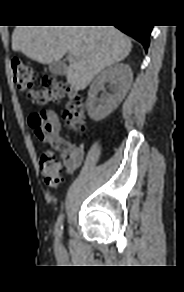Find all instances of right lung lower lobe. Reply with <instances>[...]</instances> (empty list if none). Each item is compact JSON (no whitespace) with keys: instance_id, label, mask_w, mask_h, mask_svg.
Masks as SVG:
<instances>
[{"instance_id":"1","label":"right lung lower lobe","mask_w":184,"mask_h":292,"mask_svg":"<svg viewBox=\"0 0 184 292\" xmlns=\"http://www.w3.org/2000/svg\"><path fill=\"white\" fill-rule=\"evenodd\" d=\"M118 29L139 41L147 51L152 26L148 25H116Z\"/></svg>"}]
</instances>
